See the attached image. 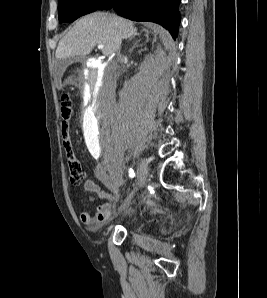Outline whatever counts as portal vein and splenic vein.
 Returning a JSON list of instances; mask_svg holds the SVG:
<instances>
[{"label": "portal vein and splenic vein", "instance_id": "portal-vein-and-splenic-vein-1", "mask_svg": "<svg viewBox=\"0 0 267 298\" xmlns=\"http://www.w3.org/2000/svg\"><path fill=\"white\" fill-rule=\"evenodd\" d=\"M97 47H98V49H103L104 48V45L99 44Z\"/></svg>", "mask_w": 267, "mask_h": 298}]
</instances>
